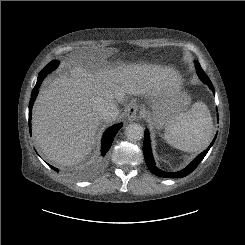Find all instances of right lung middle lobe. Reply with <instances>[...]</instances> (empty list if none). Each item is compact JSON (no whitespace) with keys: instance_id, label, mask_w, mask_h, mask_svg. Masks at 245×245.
<instances>
[{"instance_id":"obj_1","label":"right lung middle lobe","mask_w":245,"mask_h":245,"mask_svg":"<svg viewBox=\"0 0 245 245\" xmlns=\"http://www.w3.org/2000/svg\"><path fill=\"white\" fill-rule=\"evenodd\" d=\"M57 65H58V61L53 60L50 63H48L40 73L45 72L48 74L51 71H53L57 67Z\"/></svg>"}]
</instances>
